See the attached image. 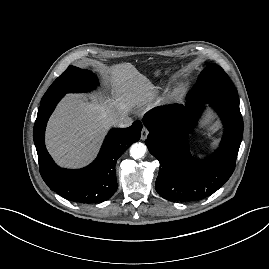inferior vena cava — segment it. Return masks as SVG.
<instances>
[{
    "mask_svg": "<svg viewBox=\"0 0 269 269\" xmlns=\"http://www.w3.org/2000/svg\"><path fill=\"white\" fill-rule=\"evenodd\" d=\"M132 123H133L132 118L126 117V118H123L122 120L118 121L117 126L120 128H126V127L131 126Z\"/></svg>",
    "mask_w": 269,
    "mask_h": 269,
    "instance_id": "602c4592",
    "label": "inferior vena cava"
}]
</instances>
